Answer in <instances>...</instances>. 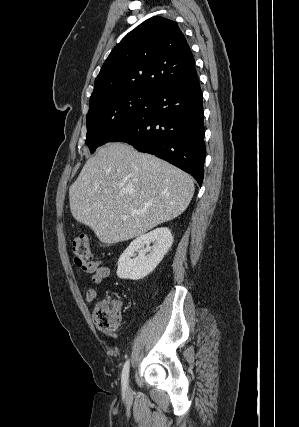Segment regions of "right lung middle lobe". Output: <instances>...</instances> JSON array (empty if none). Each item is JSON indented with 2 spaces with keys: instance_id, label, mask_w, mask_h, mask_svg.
<instances>
[{
  "instance_id": "1",
  "label": "right lung middle lobe",
  "mask_w": 299,
  "mask_h": 427,
  "mask_svg": "<svg viewBox=\"0 0 299 427\" xmlns=\"http://www.w3.org/2000/svg\"><path fill=\"white\" fill-rule=\"evenodd\" d=\"M154 94L122 92L90 104L87 121L86 144L93 153L118 134L129 128L143 113Z\"/></svg>"
}]
</instances>
